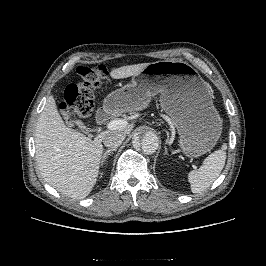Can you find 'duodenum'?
<instances>
[{
	"label": "duodenum",
	"mask_w": 266,
	"mask_h": 266,
	"mask_svg": "<svg viewBox=\"0 0 266 266\" xmlns=\"http://www.w3.org/2000/svg\"><path fill=\"white\" fill-rule=\"evenodd\" d=\"M115 111V108L110 105H106L98 111L96 115L97 122L100 124L107 122L114 115Z\"/></svg>",
	"instance_id": "duodenum-1"
}]
</instances>
